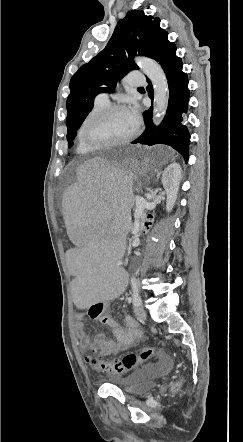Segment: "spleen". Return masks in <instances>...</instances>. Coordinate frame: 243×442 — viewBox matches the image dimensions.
<instances>
[{
    "instance_id": "1",
    "label": "spleen",
    "mask_w": 243,
    "mask_h": 442,
    "mask_svg": "<svg viewBox=\"0 0 243 442\" xmlns=\"http://www.w3.org/2000/svg\"><path fill=\"white\" fill-rule=\"evenodd\" d=\"M111 154L116 150L111 149ZM149 153H126L124 156L81 163L77 183H69L65 202V218L70 242L78 254H71L69 268L76 274L70 289L75 307H97L107 296H123L130 291L123 258L122 239L128 237L131 192L143 178H157L159 163ZM112 192V193H92Z\"/></svg>"
}]
</instances>
